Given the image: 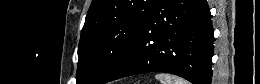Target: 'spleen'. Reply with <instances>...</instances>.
<instances>
[{
    "mask_svg": "<svg viewBox=\"0 0 260 84\" xmlns=\"http://www.w3.org/2000/svg\"><path fill=\"white\" fill-rule=\"evenodd\" d=\"M155 77L161 84H189L188 81L168 73H158Z\"/></svg>",
    "mask_w": 260,
    "mask_h": 84,
    "instance_id": "3e777b00",
    "label": "spleen"
}]
</instances>
